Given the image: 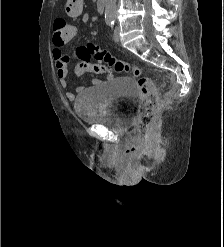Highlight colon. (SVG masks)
Wrapping results in <instances>:
<instances>
[{"instance_id":"obj_1","label":"colon","mask_w":224,"mask_h":247,"mask_svg":"<svg viewBox=\"0 0 224 247\" xmlns=\"http://www.w3.org/2000/svg\"><path fill=\"white\" fill-rule=\"evenodd\" d=\"M76 33V27L66 19L58 17L54 20L53 39L67 43L76 36ZM75 58L78 60V66L81 70L96 74L131 72L137 78L143 103L137 130L144 132L153 121L158 105V92L152 79L142 75L139 67L120 61L108 51L93 44L78 47ZM91 58H94L95 62H91Z\"/></svg>"}]
</instances>
